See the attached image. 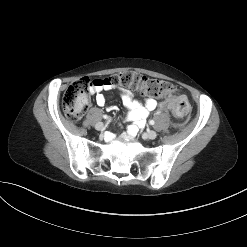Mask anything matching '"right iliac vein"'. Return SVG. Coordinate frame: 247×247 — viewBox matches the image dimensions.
I'll return each mask as SVG.
<instances>
[{
	"instance_id": "63e3f726",
	"label": "right iliac vein",
	"mask_w": 247,
	"mask_h": 247,
	"mask_svg": "<svg viewBox=\"0 0 247 247\" xmlns=\"http://www.w3.org/2000/svg\"><path fill=\"white\" fill-rule=\"evenodd\" d=\"M96 130L103 131L105 129V126L103 123L99 122L95 125Z\"/></svg>"
}]
</instances>
